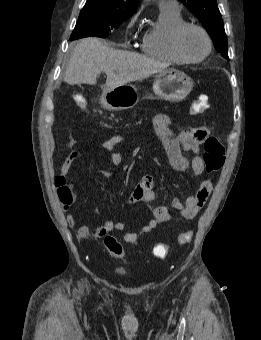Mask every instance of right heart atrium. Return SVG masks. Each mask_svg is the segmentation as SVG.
<instances>
[{
	"instance_id": "right-heart-atrium-1",
	"label": "right heart atrium",
	"mask_w": 261,
	"mask_h": 340,
	"mask_svg": "<svg viewBox=\"0 0 261 340\" xmlns=\"http://www.w3.org/2000/svg\"><path fill=\"white\" fill-rule=\"evenodd\" d=\"M137 19L138 15L137 14L133 15L128 23V27H132L136 23Z\"/></svg>"
}]
</instances>
